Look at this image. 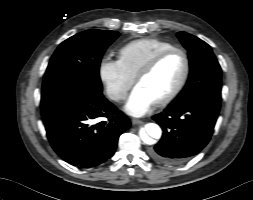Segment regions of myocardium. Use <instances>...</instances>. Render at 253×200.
<instances>
[{
	"label": "myocardium",
	"mask_w": 253,
	"mask_h": 200,
	"mask_svg": "<svg viewBox=\"0 0 253 200\" xmlns=\"http://www.w3.org/2000/svg\"><path fill=\"white\" fill-rule=\"evenodd\" d=\"M178 53L183 57L184 60V70L183 74L178 82V84L175 86V88L165 97L160 99L159 101L155 102L157 106H164L172 102L183 90L185 87L187 80L189 78L190 74V59L188 54L180 48L174 47L168 50H165L158 55H156L154 58H152L144 67H142L139 72L135 76V83L138 84L139 81L146 77L147 75L151 74L159 65L160 63L166 59L168 56Z\"/></svg>",
	"instance_id": "1"
}]
</instances>
